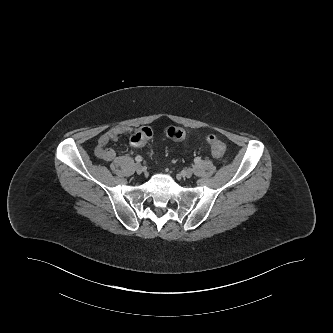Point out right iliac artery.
<instances>
[{"label":"right iliac artery","mask_w":333,"mask_h":333,"mask_svg":"<svg viewBox=\"0 0 333 333\" xmlns=\"http://www.w3.org/2000/svg\"><path fill=\"white\" fill-rule=\"evenodd\" d=\"M135 160H136L137 162H141V161H142V157H141V156H136V157H135Z\"/></svg>","instance_id":"right-iliac-artery-1"}]
</instances>
